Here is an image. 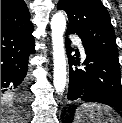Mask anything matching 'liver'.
<instances>
[{
	"label": "liver",
	"instance_id": "liver-1",
	"mask_svg": "<svg viewBox=\"0 0 122 123\" xmlns=\"http://www.w3.org/2000/svg\"><path fill=\"white\" fill-rule=\"evenodd\" d=\"M20 116L12 110H4L1 108V123H15L20 121Z\"/></svg>",
	"mask_w": 122,
	"mask_h": 123
}]
</instances>
